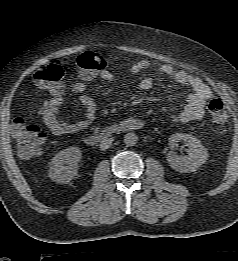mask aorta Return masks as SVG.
<instances>
[{"mask_svg":"<svg viewBox=\"0 0 238 261\" xmlns=\"http://www.w3.org/2000/svg\"><path fill=\"white\" fill-rule=\"evenodd\" d=\"M137 141H138V136L133 132H129L124 136V143L127 146H134L137 143Z\"/></svg>","mask_w":238,"mask_h":261,"instance_id":"1","label":"aorta"}]
</instances>
